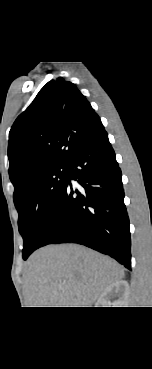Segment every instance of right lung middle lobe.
<instances>
[{"label": "right lung middle lobe", "mask_w": 152, "mask_h": 369, "mask_svg": "<svg viewBox=\"0 0 152 369\" xmlns=\"http://www.w3.org/2000/svg\"><path fill=\"white\" fill-rule=\"evenodd\" d=\"M68 182V165H57L34 175L13 196L19 213V232L24 239L23 259L39 248Z\"/></svg>", "instance_id": "dd1d6c3e"}]
</instances>
